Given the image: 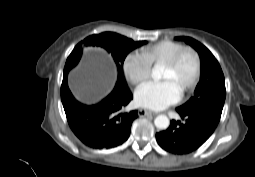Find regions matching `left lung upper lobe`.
Returning <instances> with one entry per match:
<instances>
[{"mask_svg":"<svg viewBox=\"0 0 255 177\" xmlns=\"http://www.w3.org/2000/svg\"><path fill=\"white\" fill-rule=\"evenodd\" d=\"M191 45L201 59V76L193 97L177 109L185 112H205L221 117L226 97L225 78L213 54L190 37H175Z\"/></svg>","mask_w":255,"mask_h":177,"instance_id":"1","label":"left lung upper lobe"}]
</instances>
